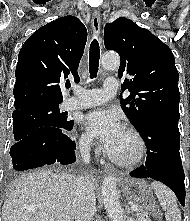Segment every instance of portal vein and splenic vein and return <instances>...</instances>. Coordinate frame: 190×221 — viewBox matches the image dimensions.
<instances>
[{"mask_svg": "<svg viewBox=\"0 0 190 221\" xmlns=\"http://www.w3.org/2000/svg\"><path fill=\"white\" fill-rule=\"evenodd\" d=\"M131 209H132L133 211H137V210L139 209V207L136 206V205H132V206H131Z\"/></svg>", "mask_w": 190, "mask_h": 221, "instance_id": "portal-vein-and-splenic-vein-1", "label": "portal vein and splenic vein"}]
</instances>
